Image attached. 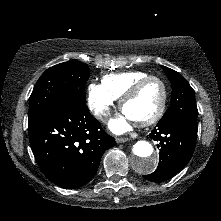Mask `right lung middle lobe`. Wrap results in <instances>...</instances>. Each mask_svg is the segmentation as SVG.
<instances>
[{"mask_svg": "<svg viewBox=\"0 0 221 221\" xmlns=\"http://www.w3.org/2000/svg\"><path fill=\"white\" fill-rule=\"evenodd\" d=\"M90 69L79 61L60 63L38 79L29 99L28 125L59 110L70 100L86 102L85 84Z\"/></svg>", "mask_w": 221, "mask_h": 221, "instance_id": "obj_1", "label": "right lung middle lobe"}]
</instances>
